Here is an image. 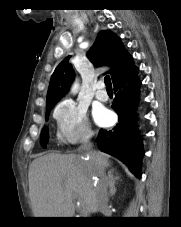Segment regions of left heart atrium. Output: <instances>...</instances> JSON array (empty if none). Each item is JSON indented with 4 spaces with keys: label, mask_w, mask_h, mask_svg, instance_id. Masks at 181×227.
<instances>
[{
    "label": "left heart atrium",
    "mask_w": 181,
    "mask_h": 227,
    "mask_svg": "<svg viewBox=\"0 0 181 227\" xmlns=\"http://www.w3.org/2000/svg\"><path fill=\"white\" fill-rule=\"evenodd\" d=\"M94 119L99 125H107L111 122V114L105 109H99L94 113Z\"/></svg>",
    "instance_id": "obj_1"
}]
</instances>
